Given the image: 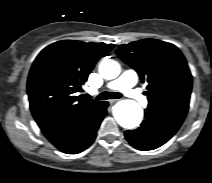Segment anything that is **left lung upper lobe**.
<instances>
[{"label":"left lung upper lobe","mask_w":212,"mask_h":183,"mask_svg":"<svg viewBox=\"0 0 212 183\" xmlns=\"http://www.w3.org/2000/svg\"><path fill=\"white\" fill-rule=\"evenodd\" d=\"M119 58L135 69L148 92L150 110L185 118L192 76L181 51L173 44L143 39L120 45Z\"/></svg>","instance_id":"5c2ea615"}]
</instances>
